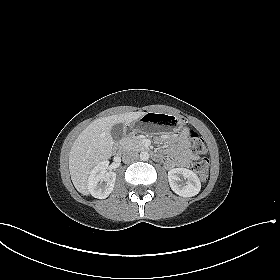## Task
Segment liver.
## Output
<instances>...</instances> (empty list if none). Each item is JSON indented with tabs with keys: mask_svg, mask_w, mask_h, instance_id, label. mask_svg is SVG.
<instances>
[{
	"mask_svg": "<svg viewBox=\"0 0 280 280\" xmlns=\"http://www.w3.org/2000/svg\"><path fill=\"white\" fill-rule=\"evenodd\" d=\"M145 114L137 111L103 117L94 120L79 134L69 153L71 180L78 192L89 194L88 177L93 167L112 156V126L118 123L130 125Z\"/></svg>",
	"mask_w": 280,
	"mask_h": 280,
	"instance_id": "1",
	"label": "liver"
}]
</instances>
